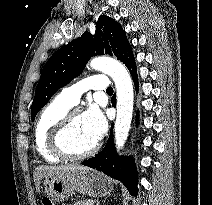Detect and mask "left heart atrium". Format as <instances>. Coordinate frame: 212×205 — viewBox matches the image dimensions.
<instances>
[{"label": "left heart atrium", "mask_w": 212, "mask_h": 205, "mask_svg": "<svg viewBox=\"0 0 212 205\" xmlns=\"http://www.w3.org/2000/svg\"><path fill=\"white\" fill-rule=\"evenodd\" d=\"M81 116L92 137L96 141L101 139L107 129V121L102 111L95 106H91Z\"/></svg>", "instance_id": "1"}]
</instances>
